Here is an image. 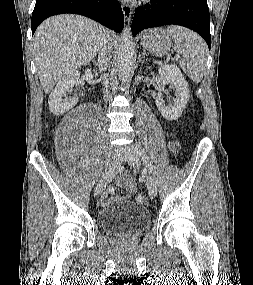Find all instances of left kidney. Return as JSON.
Wrapping results in <instances>:
<instances>
[{"label":"left kidney","mask_w":253,"mask_h":285,"mask_svg":"<svg viewBox=\"0 0 253 285\" xmlns=\"http://www.w3.org/2000/svg\"><path fill=\"white\" fill-rule=\"evenodd\" d=\"M158 72L162 78V84H173L177 95L173 104L166 105L162 98V93L158 92L155 97L156 106L165 119L171 121L177 120L190 98L188 83L179 68L175 65L162 66Z\"/></svg>","instance_id":"1"}]
</instances>
